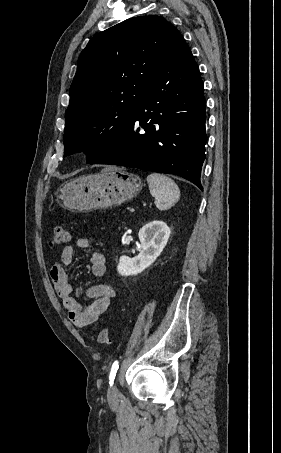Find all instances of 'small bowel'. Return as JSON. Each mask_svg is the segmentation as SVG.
Returning a JSON list of instances; mask_svg holds the SVG:
<instances>
[{"label": "small bowel", "mask_w": 281, "mask_h": 453, "mask_svg": "<svg viewBox=\"0 0 281 453\" xmlns=\"http://www.w3.org/2000/svg\"><path fill=\"white\" fill-rule=\"evenodd\" d=\"M93 240L94 236L79 238L76 241V248L80 251H89ZM74 254V247L64 248L61 255V263H55L51 266L50 278L54 283L56 294L63 302L69 320L76 326H85L99 319L115 299L117 293L109 286L89 287L85 290V294L88 297H92L93 301L82 307L72 295V286L66 271V268L73 263ZM89 271L93 277L106 274L105 258L102 253L91 252Z\"/></svg>", "instance_id": "small-bowel-1"}]
</instances>
